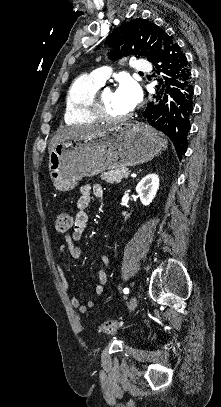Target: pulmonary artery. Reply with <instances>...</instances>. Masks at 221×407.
Listing matches in <instances>:
<instances>
[{
    "mask_svg": "<svg viewBox=\"0 0 221 407\" xmlns=\"http://www.w3.org/2000/svg\"><path fill=\"white\" fill-rule=\"evenodd\" d=\"M132 68L135 73L139 74L148 72L150 69L148 63L139 59L134 61ZM89 75L99 84L103 85L109 78V71L106 67H99L91 71Z\"/></svg>",
    "mask_w": 221,
    "mask_h": 407,
    "instance_id": "obj_1",
    "label": "pulmonary artery"
}]
</instances>
